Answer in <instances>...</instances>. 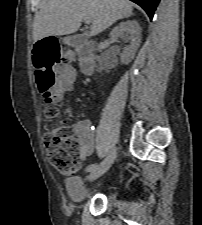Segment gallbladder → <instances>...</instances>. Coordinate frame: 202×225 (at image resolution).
Wrapping results in <instances>:
<instances>
[{"instance_id":"obj_1","label":"gallbladder","mask_w":202,"mask_h":225,"mask_svg":"<svg viewBox=\"0 0 202 225\" xmlns=\"http://www.w3.org/2000/svg\"><path fill=\"white\" fill-rule=\"evenodd\" d=\"M62 42L65 45L76 47L82 42V37L80 35H67L62 38Z\"/></svg>"}]
</instances>
